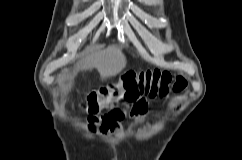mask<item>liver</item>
<instances>
[{
    "mask_svg": "<svg viewBox=\"0 0 242 160\" xmlns=\"http://www.w3.org/2000/svg\"><path fill=\"white\" fill-rule=\"evenodd\" d=\"M126 57L117 46L96 51L76 64L77 69L92 70L96 68L102 80L116 76L126 67ZM72 81L67 85L71 87Z\"/></svg>",
    "mask_w": 242,
    "mask_h": 160,
    "instance_id": "1",
    "label": "liver"
}]
</instances>
